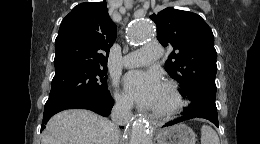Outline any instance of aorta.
Masks as SVG:
<instances>
[{
  "label": "aorta",
  "mask_w": 260,
  "mask_h": 144,
  "mask_svg": "<svg viewBox=\"0 0 260 144\" xmlns=\"http://www.w3.org/2000/svg\"><path fill=\"white\" fill-rule=\"evenodd\" d=\"M152 34V23L147 20H139L130 26L128 40L131 44H140L151 38ZM129 144H152L149 123L144 118H138L132 122Z\"/></svg>",
  "instance_id": "obj_1"
}]
</instances>
